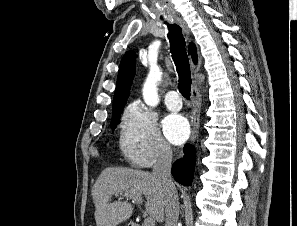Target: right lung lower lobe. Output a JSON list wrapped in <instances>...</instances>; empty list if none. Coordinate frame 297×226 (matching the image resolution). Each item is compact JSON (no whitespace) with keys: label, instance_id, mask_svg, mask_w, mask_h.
<instances>
[{"label":"right lung lower lobe","instance_id":"98d812e1","mask_svg":"<svg viewBox=\"0 0 297 226\" xmlns=\"http://www.w3.org/2000/svg\"><path fill=\"white\" fill-rule=\"evenodd\" d=\"M185 155L172 166V175L182 185H191L195 168V148L189 144L184 146Z\"/></svg>","mask_w":297,"mask_h":226}]
</instances>
